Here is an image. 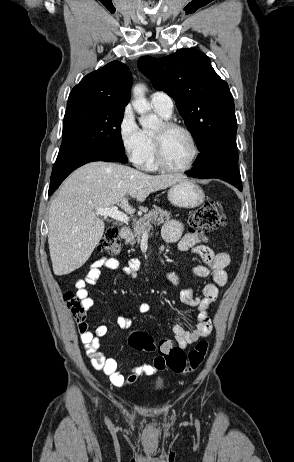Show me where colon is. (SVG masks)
<instances>
[{"label": "colon", "mask_w": 294, "mask_h": 462, "mask_svg": "<svg viewBox=\"0 0 294 462\" xmlns=\"http://www.w3.org/2000/svg\"><path fill=\"white\" fill-rule=\"evenodd\" d=\"M226 222L221 205L217 201H209L201 205L190 218L189 233L201 236L205 232L212 231ZM118 229L114 226L109 227L103 239L100 241L98 250L108 255H117L120 252V245L117 242ZM64 301L69 308L73 319L77 323H82L85 319L84 305L72 292L64 294ZM129 345L139 351L155 352L153 364L156 368L163 370L169 369L177 373H187L196 370L203 362L208 344L200 341L193 349L188 352L174 346L168 340H162L157 345L147 333L136 331L129 337Z\"/></svg>", "instance_id": "5ec220e1"}]
</instances>
